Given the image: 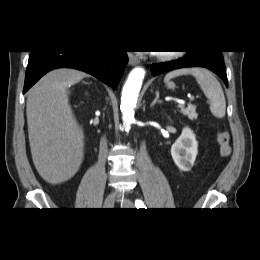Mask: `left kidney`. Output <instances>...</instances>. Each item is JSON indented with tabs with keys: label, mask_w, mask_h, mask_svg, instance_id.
Here are the masks:
<instances>
[{
	"label": "left kidney",
	"mask_w": 260,
	"mask_h": 260,
	"mask_svg": "<svg viewBox=\"0 0 260 260\" xmlns=\"http://www.w3.org/2000/svg\"><path fill=\"white\" fill-rule=\"evenodd\" d=\"M198 153V143L195 134L188 127L183 128L180 137L171 147V155L178 166L184 172H188L194 165Z\"/></svg>",
	"instance_id": "left-kidney-1"
}]
</instances>
